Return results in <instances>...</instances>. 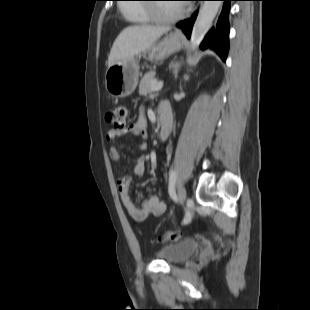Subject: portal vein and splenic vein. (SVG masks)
<instances>
[{
  "label": "portal vein and splenic vein",
  "mask_w": 310,
  "mask_h": 310,
  "mask_svg": "<svg viewBox=\"0 0 310 310\" xmlns=\"http://www.w3.org/2000/svg\"><path fill=\"white\" fill-rule=\"evenodd\" d=\"M162 87H163V82L160 81V82L155 83V84L153 85L152 91H159V90L162 89Z\"/></svg>",
  "instance_id": "obj_1"
}]
</instances>
